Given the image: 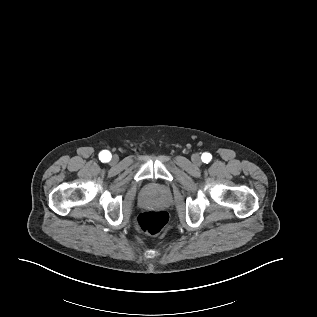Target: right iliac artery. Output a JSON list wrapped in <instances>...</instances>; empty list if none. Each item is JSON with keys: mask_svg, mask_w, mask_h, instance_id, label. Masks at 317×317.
<instances>
[{"mask_svg": "<svg viewBox=\"0 0 317 317\" xmlns=\"http://www.w3.org/2000/svg\"><path fill=\"white\" fill-rule=\"evenodd\" d=\"M99 158L102 162H108L111 160V153L107 150L100 152Z\"/></svg>", "mask_w": 317, "mask_h": 317, "instance_id": "obj_1", "label": "right iliac artery"}]
</instances>
